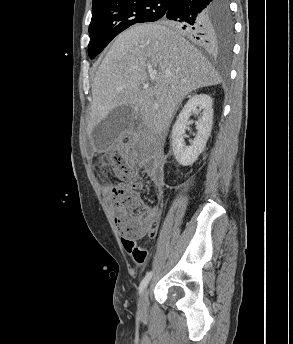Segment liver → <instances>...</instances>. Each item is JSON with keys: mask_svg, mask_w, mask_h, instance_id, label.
<instances>
[{"mask_svg": "<svg viewBox=\"0 0 293 344\" xmlns=\"http://www.w3.org/2000/svg\"><path fill=\"white\" fill-rule=\"evenodd\" d=\"M220 82L206 57L172 27L135 25L117 36L96 72L89 127L128 105L149 130L161 134L186 95Z\"/></svg>", "mask_w": 293, "mask_h": 344, "instance_id": "1", "label": "liver"}]
</instances>
